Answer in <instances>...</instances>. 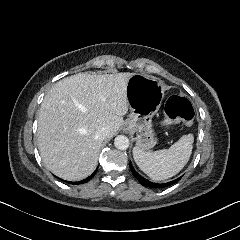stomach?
<instances>
[{"label":"stomach","mask_w":240,"mask_h":240,"mask_svg":"<svg viewBox=\"0 0 240 240\" xmlns=\"http://www.w3.org/2000/svg\"><path fill=\"white\" fill-rule=\"evenodd\" d=\"M165 96L164 81L155 76L134 73L126 84L129 108L125 129L136 134V146L149 150L157 139L151 128V119L160 109Z\"/></svg>","instance_id":"0dacf381"}]
</instances>
